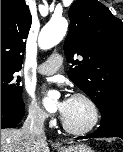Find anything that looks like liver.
Masks as SVG:
<instances>
[{
  "instance_id": "liver-1",
  "label": "liver",
  "mask_w": 123,
  "mask_h": 152,
  "mask_svg": "<svg viewBox=\"0 0 123 152\" xmlns=\"http://www.w3.org/2000/svg\"><path fill=\"white\" fill-rule=\"evenodd\" d=\"M1 152H49L46 139L22 129H1Z\"/></svg>"
}]
</instances>
